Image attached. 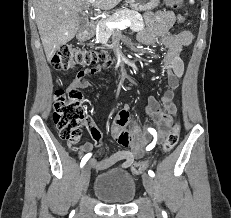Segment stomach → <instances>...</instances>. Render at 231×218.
<instances>
[{
    "label": "stomach",
    "mask_w": 231,
    "mask_h": 218,
    "mask_svg": "<svg viewBox=\"0 0 231 218\" xmlns=\"http://www.w3.org/2000/svg\"><path fill=\"white\" fill-rule=\"evenodd\" d=\"M132 9L137 11H146L156 8L159 0H128Z\"/></svg>",
    "instance_id": "0dacf381"
}]
</instances>
